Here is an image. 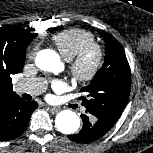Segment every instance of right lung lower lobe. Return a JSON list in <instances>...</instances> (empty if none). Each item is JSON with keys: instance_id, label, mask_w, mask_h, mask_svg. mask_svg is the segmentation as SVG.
Segmentation results:
<instances>
[{"instance_id": "98d812e1", "label": "right lung lower lobe", "mask_w": 153, "mask_h": 153, "mask_svg": "<svg viewBox=\"0 0 153 153\" xmlns=\"http://www.w3.org/2000/svg\"><path fill=\"white\" fill-rule=\"evenodd\" d=\"M36 101H24L19 96L0 104V141H8L20 136L27 128Z\"/></svg>"}]
</instances>
